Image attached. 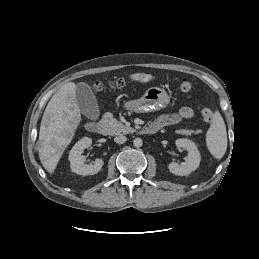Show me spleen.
I'll use <instances>...</instances> for the list:
<instances>
[{
	"mask_svg": "<svg viewBox=\"0 0 259 259\" xmlns=\"http://www.w3.org/2000/svg\"><path fill=\"white\" fill-rule=\"evenodd\" d=\"M206 145L210 153L221 159L227 149V132L224 120L220 113H214L211 126L206 133Z\"/></svg>",
	"mask_w": 259,
	"mask_h": 259,
	"instance_id": "1",
	"label": "spleen"
}]
</instances>
